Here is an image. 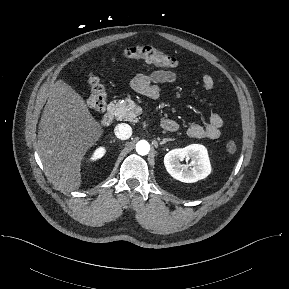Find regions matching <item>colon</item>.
Wrapping results in <instances>:
<instances>
[{
    "instance_id": "obj_1",
    "label": "colon",
    "mask_w": 289,
    "mask_h": 289,
    "mask_svg": "<svg viewBox=\"0 0 289 289\" xmlns=\"http://www.w3.org/2000/svg\"><path fill=\"white\" fill-rule=\"evenodd\" d=\"M121 57L125 59H141L156 66L168 69L177 68L179 66L178 61L174 57L150 44L129 46L122 51ZM88 84L90 86V92L86 99L87 105L96 111L104 110L107 95L103 85L100 83L98 77L93 73H90L88 76ZM236 150V142L234 140L228 141L226 144V151L229 154H233Z\"/></svg>"
}]
</instances>
